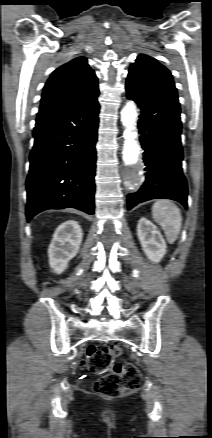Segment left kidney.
<instances>
[{"label":"left kidney","instance_id":"1","mask_svg":"<svg viewBox=\"0 0 212 438\" xmlns=\"http://www.w3.org/2000/svg\"><path fill=\"white\" fill-rule=\"evenodd\" d=\"M137 236L146 256L153 262H159L166 254V242L157 227L142 217L137 226Z\"/></svg>","mask_w":212,"mask_h":438}]
</instances>
